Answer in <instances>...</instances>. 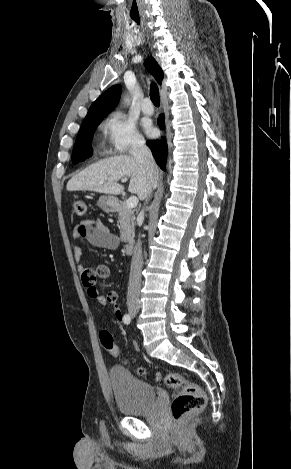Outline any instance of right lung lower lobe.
I'll return each mask as SVG.
<instances>
[{"label": "right lung lower lobe", "instance_id": "obj_1", "mask_svg": "<svg viewBox=\"0 0 291 469\" xmlns=\"http://www.w3.org/2000/svg\"><path fill=\"white\" fill-rule=\"evenodd\" d=\"M158 125L161 128H165L164 123V115H160L158 118ZM147 146L151 149L152 154L157 162V164L161 167L162 170H165V163L167 159V144L166 141L163 140H156V141H147Z\"/></svg>", "mask_w": 291, "mask_h": 469}]
</instances>
